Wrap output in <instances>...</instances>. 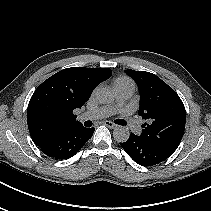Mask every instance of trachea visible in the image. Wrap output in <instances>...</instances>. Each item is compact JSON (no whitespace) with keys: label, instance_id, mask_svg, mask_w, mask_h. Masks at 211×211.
<instances>
[{"label":"trachea","instance_id":"trachea-1","mask_svg":"<svg viewBox=\"0 0 211 211\" xmlns=\"http://www.w3.org/2000/svg\"><path fill=\"white\" fill-rule=\"evenodd\" d=\"M117 124H119V125H126L127 123H126V121H124L122 119H119Z\"/></svg>","mask_w":211,"mask_h":211}]
</instances>
